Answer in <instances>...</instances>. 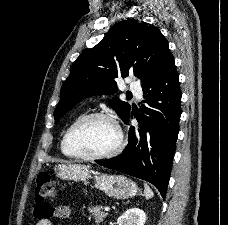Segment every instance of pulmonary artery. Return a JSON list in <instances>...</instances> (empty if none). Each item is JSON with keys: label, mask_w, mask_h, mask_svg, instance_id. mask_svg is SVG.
I'll return each mask as SVG.
<instances>
[{"label": "pulmonary artery", "mask_w": 228, "mask_h": 225, "mask_svg": "<svg viewBox=\"0 0 228 225\" xmlns=\"http://www.w3.org/2000/svg\"><path fill=\"white\" fill-rule=\"evenodd\" d=\"M130 90L133 91V93L137 99H141V97H142L141 85H130Z\"/></svg>", "instance_id": "e3ab8cb5"}]
</instances>
